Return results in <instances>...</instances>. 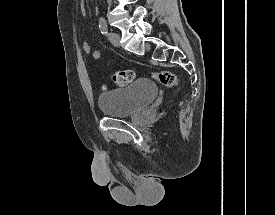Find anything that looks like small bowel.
Masks as SVG:
<instances>
[{
	"label": "small bowel",
	"instance_id": "1",
	"mask_svg": "<svg viewBox=\"0 0 275 215\" xmlns=\"http://www.w3.org/2000/svg\"><path fill=\"white\" fill-rule=\"evenodd\" d=\"M81 49L86 54L92 53L94 59H99L101 57V52L99 50L92 51L91 45L86 40L82 42Z\"/></svg>",
	"mask_w": 275,
	"mask_h": 215
}]
</instances>
